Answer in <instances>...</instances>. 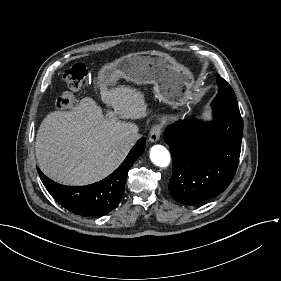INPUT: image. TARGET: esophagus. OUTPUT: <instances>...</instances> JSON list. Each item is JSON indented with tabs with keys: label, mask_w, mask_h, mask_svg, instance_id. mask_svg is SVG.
<instances>
[{
	"label": "esophagus",
	"mask_w": 281,
	"mask_h": 281,
	"mask_svg": "<svg viewBox=\"0 0 281 281\" xmlns=\"http://www.w3.org/2000/svg\"><path fill=\"white\" fill-rule=\"evenodd\" d=\"M161 126L160 125H154L151 130H150V134H149V142L151 143H156L161 135Z\"/></svg>",
	"instance_id": "obj_1"
}]
</instances>
